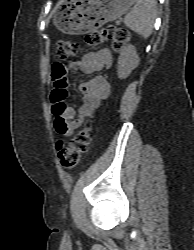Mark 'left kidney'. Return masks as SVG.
Segmentation results:
<instances>
[{
  "label": "left kidney",
  "mask_w": 194,
  "mask_h": 250,
  "mask_svg": "<svg viewBox=\"0 0 194 250\" xmlns=\"http://www.w3.org/2000/svg\"><path fill=\"white\" fill-rule=\"evenodd\" d=\"M139 56L133 45L124 47L118 59V76L126 78L139 64Z\"/></svg>",
  "instance_id": "obj_1"
}]
</instances>
